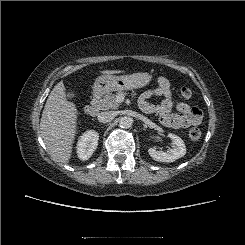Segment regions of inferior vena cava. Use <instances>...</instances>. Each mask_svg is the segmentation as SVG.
<instances>
[{
	"instance_id": "1",
	"label": "inferior vena cava",
	"mask_w": 245,
	"mask_h": 245,
	"mask_svg": "<svg viewBox=\"0 0 245 245\" xmlns=\"http://www.w3.org/2000/svg\"><path fill=\"white\" fill-rule=\"evenodd\" d=\"M116 114L113 111L101 112L98 114V121L101 123H107L115 118Z\"/></svg>"
}]
</instances>
